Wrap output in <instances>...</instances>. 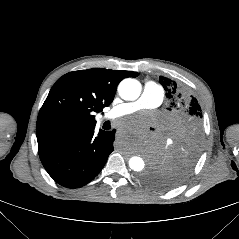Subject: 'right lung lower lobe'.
Returning <instances> with one entry per match:
<instances>
[{
    "label": "right lung lower lobe",
    "mask_w": 239,
    "mask_h": 239,
    "mask_svg": "<svg viewBox=\"0 0 239 239\" xmlns=\"http://www.w3.org/2000/svg\"><path fill=\"white\" fill-rule=\"evenodd\" d=\"M113 131L94 128L70 138L38 148L41 162L58 184L79 188L93 180L104 167L113 151Z\"/></svg>",
    "instance_id": "right-lung-lower-lobe-1"
}]
</instances>
